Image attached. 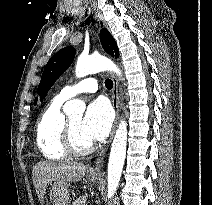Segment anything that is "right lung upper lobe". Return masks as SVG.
Here are the masks:
<instances>
[{
    "label": "right lung upper lobe",
    "instance_id": "cb5924a9",
    "mask_svg": "<svg viewBox=\"0 0 212 205\" xmlns=\"http://www.w3.org/2000/svg\"><path fill=\"white\" fill-rule=\"evenodd\" d=\"M36 102H37V99H35L34 104H36Z\"/></svg>",
    "mask_w": 212,
    "mask_h": 205
}]
</instances>
